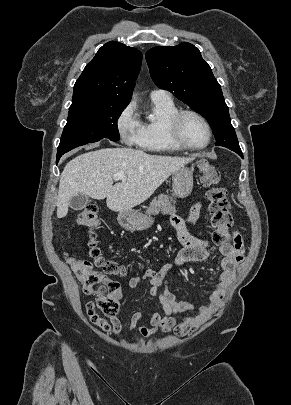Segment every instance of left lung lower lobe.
<instances>
[{
  "label": "left lung lower lobe",
  "instance_id": "left-lung-lower-lobe-1",
  "mask_svg": "<svg viewBox=\"0 0 291 405\" xmlns=\"http://www.w3.org/2000/svg\"><path fill=\"white\" fill-rule=\"evenodd\" d=\"M236 153H238L241 157H243L242 151L240 150H235Z\"/></svg>",
  "mask_w": 291,
  "mask_h": 405
}]
</instances>
